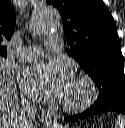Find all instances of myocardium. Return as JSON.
I'll return each instance as SVG.
<instances>
[{
  "label": "myocardium",
  "mask_w": 125,
  "mask_h": 128,
  "mask_svg": "<svg viewBox=\"0 0 125 128\" xmlns=\"http://www.w3.org/2000/svg\"><path fill=\"white\" fill-rule=\"evenodd\" d=\"M73 85L81 89L80 96L75 100H65L63 109L66 112L74 113L86 109L97 96V88L88 76H78L74 79Z\"/></svg>",
  "instance_id": "obj_1"
}]
</instances>
